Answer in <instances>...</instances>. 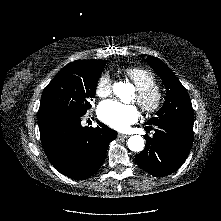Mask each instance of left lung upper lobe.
Returning <instances> with one entry per match:
<instances>
[{
  "mask_svg": "<svg viewBox=\"0 0 221 221\" xmlns=\"http://www.w3.org/2000/svg\"><path fill=\"white\" fill-rule=\"evenodd\" d=\"M146 61L162 78L167 89L166 100L157 117L151 118L146 124L156 125L166 121L193 122L192 104L186 88L159 58L148 56Z\"/></svg>",
  "mask_w": 221,
  "mask_h": 221,
  "instance_id": "left-lung-upper-lobe-1",
  "label": "left lung upper lobe"
}]
</instances>
